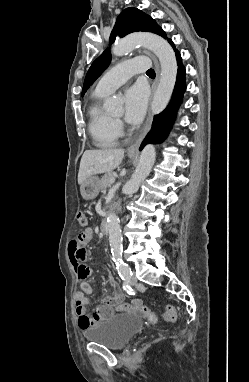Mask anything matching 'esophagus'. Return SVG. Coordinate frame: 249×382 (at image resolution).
Returning a JSON list of instances; mask_svg holds the SVG:
<instances>
[{
    "mask_svg": "<svg viewBox=\"0 0 249 382\" xmlns=\"http://www.w3.org/2000/svg\"><path fill=\"white\" fill-rule=\"evenodd\" d=\"M144 53L146 55H148L149 57H151V59L153 60L154 66H155L156 78H155V81L152 85V94H154L156 86H157L158 81H159V77H160V67H159V63H158L157 58L153 54H151L147 50H144ZM152 121H153V115H152L151 109H149L146 123H145V126H144L141 134L139 135L138 139L132 145H130L127 149V152L129 154H137L139 152L140 144H141L144 136L146 135V133L150 130L151 125H152Z\"/></svg>",
    "mask_w": 249,
    "mask_h": 382,
    "instance_id": "esophagus-1",
    "label": "esophagus"
}]
</instances>
